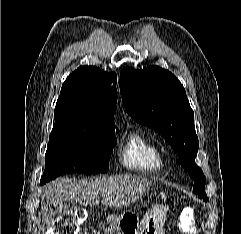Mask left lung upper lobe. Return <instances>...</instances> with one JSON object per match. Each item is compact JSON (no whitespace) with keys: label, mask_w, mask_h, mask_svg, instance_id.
Masks as SVG:
<instances>
[{"label":"left lung upper lobe","mask_w":241,"mask_h":234,"mask_svg":"<svg viewBox=\"0 0 241 234\" xmlns=\"http://www.w3.org/2000/svg\"><path fill=\"white\" fill-rule=\"evenodd\" d=\"M120 93L127 113L173 147L180 164L194 180V193L207 202L206 178L195 164L199 142L194 112L180 81L158 66L139 71L126 67L120 74Z\"/></svg>","instance_id":"1"}]
</instances>
